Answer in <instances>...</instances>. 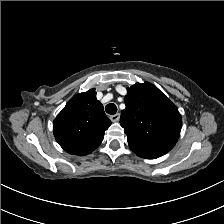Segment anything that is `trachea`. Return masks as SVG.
I'll return each mask as SVG.
<instances>
[{
  "mask_svg": "<svg viewBox=\"0 0 224 224\" xmlns=\"http://www.w3.org/2000/svg\"><path fill=\"white\" fill-rule=\"evenodd\" d=\"M105 111L110 115H114L117 112V107L115 104L110 103L106 105Z\"/></svg>",
  "mask_w": 224,
  "mask_h": 224,
  "instance_id": "1",
  "label": "trachea"
}]
</instances>
